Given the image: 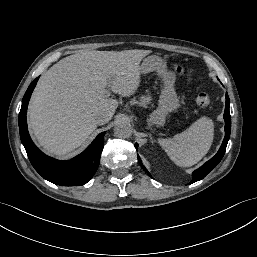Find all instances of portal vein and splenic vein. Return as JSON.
<instances>
[{"label":"portal vein and splenic vein","mask_w":257,"mask_h":257,"mask_svg":"<svg viewBox=\"0 0 257 257\" xmlns=\"http://www.w3.org/2000/svg\"><path fill=\"white\" fill-rule=\"evenodd\" d=\"M108 88H109V86H108ZM108 88L104 90V94H105L107 97H109V96H110V93H111Z\"/></svg>","instance_id":"obj_1"}]
</instances>
